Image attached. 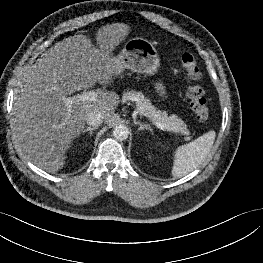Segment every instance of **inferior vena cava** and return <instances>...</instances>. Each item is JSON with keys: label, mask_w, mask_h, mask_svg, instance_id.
Wrapping results in <instances>:
<instances>
[{"label": "inferior vena cava", "mask_w": 263, "mask_h": 263, "mask_svg": "<svg viewBox=\"0 0 263 263\" xmlns=\"http://www.w3.org/2000/svg\"><path fill=\"white\" fill-rule=\"evenodd\" d=\"M104 120V114L99 110L90 111L86 115V123L93 127H98Z\"/></svg>", "instance_id": "602c4592"}]
</instances>
